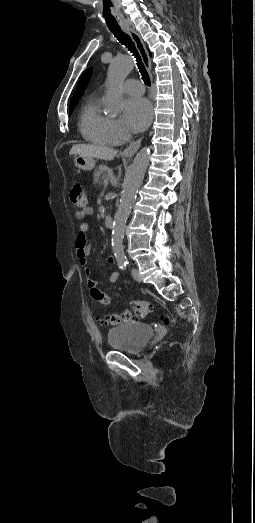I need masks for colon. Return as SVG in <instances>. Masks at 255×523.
I'll return each mask as SVG.
<instances>
[{"label":"colon","instance_id":"5ec220e1","mask_svg":"<svg viewBox=\"0 0 255 523\" xmlns=\"http://www.w3.org/2000/svg\"><path fill=\"white\" fill-rule=\"evenodd\" d=\"M70 201L73 204L75 208H77L79 211H82L87 206V196L85 194L84 189L80 184H75L70 192ZM90 292L94 300H96L98 303L108 305L110 303V298L107 294H105L103 291H101L96 286L90 287ZM131 305L133 307V312L130 311H123L120 314H109L107 315L103 322L106 325H118L120 323L129 322L132 320L140 319L146 317L152 310V305L150 302L145 300H134L131 302ZM163 322L173 323L175 322L174 319H172L169 316H164L162 318Z\"/></svg>","mask_w":255,"mask_h":523}]
</instances>
